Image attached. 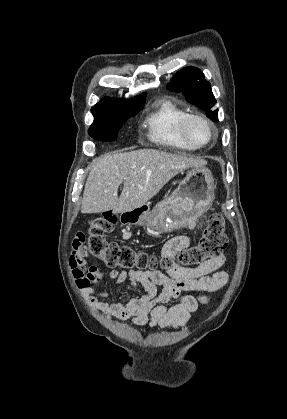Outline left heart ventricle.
Returning a JSON list of instances; mask_svg holds the SVG:
<instances>
[{
	"label": "left heart ventricle",
	"instance_id": "obj_1",
	"mask_svg": "<svg viewBox=\"0 0 287 419\" xmlns=\"http://www.w3.org/2000/svg\"><path fill=\"white\" fill-rule=\"evenodd\" d=\"M188 134L194 142H205L209 138L207 127L200 121H191L189 123Z\"/></svg>",
	"mask_w": 287,
	"mask_h": 419
}]
</instances>
